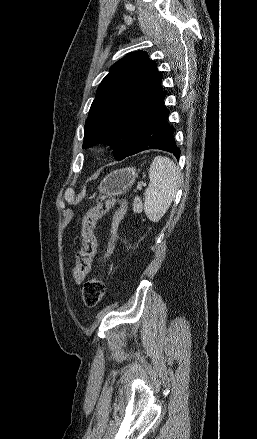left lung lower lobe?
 Returning <instances> with one entry per match:
<instances>
[{
  "label": "left lung lower lobe",
  "mask_w": 257,
  "mask_h": 439,
  "mask_svg": "<svg viewBox=\"0 0 257 439\" xmlns=\"http://www.w3.org/2000/svg\"><path fill=\"white\" fill-rule=\"evenodd\" d=\"M165 96L146 117L139 131L137 141L127 156L145 150L159 149L170 152L179 159L181 151L177 147L173 136L174 128L167 121L168 109L163 105Z\"/></svg>",
  "instance_id": "0a47b994"
}]
</instances>
